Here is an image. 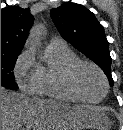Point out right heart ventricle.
Returning <instances> with one entry per match:
<instances>
[{
    "instance_id": "e07e8e85",
    "label": "right heart ventricle",
    "mask_w": 123,
    "mask_h": 130,
    "mask_svg": "<svg viewBox=\"0 0 123 130\" xmlns=\"http://www.w3.org/2000/svg\"><path fill=\"white\" fill-rule=\"evenodd\" d=\"M49 53L54 58L53 64H40V78L34 94L62 102H75L63 87L61 69L67 63L78 59L77 55L66 45L63 47L48 46Z\"/></svg>"
}]
</instances>
